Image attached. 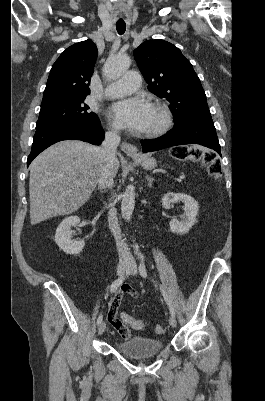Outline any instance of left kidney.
<instances>
[{"mask_svg": "<svg viewBox=\"0 0 265 401\" xmlns=\"http://www.w3.org/2000/svg\"><path fill=\"white\" fill-rule=\"evenodd\" d=\"M185 203L183 221H177V219H171L170 231L172 233H179V235H184L188 233L189 229L193 227L198 211V203L195 201L193 196L190 194H184V192H166L162 198V205L164 209H170L171 203Z\"/></svg>", "mask_w": 265, "mask_h": 401, "instance_id": "5707ae66", "label": "left kidney"}]
</instances>
